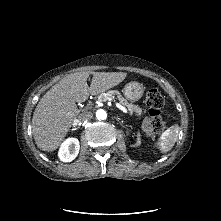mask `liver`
I'll list each match as a JSON object with an SVG mask.
<instances>
[{"instance_id": "1", "label": "liver", "mask_w": 221, "mask_h": 221, "mask_svg": "<svg viewBox=\"0 0 221 221\" xmlns=\"http://www.w3.org/2000/svg\"><path fill=\"white\" fill-rule=\"evenodd\" d=\"M92 74L90 87L87 84ZM124 72H76L63 78L41 98L32 118V133L37 147L52 152L63 142L72 122L80 113L76 102L82 103L90 94L96 95L120 84Z\"/></svg>"}]
</instances>
